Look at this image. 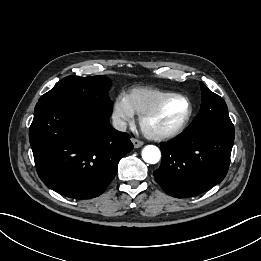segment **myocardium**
Listing matches in <instances>:
<instances>
[{"label": "myocardium", "mask_w": 261, "mask_h": 261, "mask_svg": "<svg viewBox=\"0 0 261 261\" xmlns=\"http://www.w3.org/2000/svg\"><path fill=\"white\" fill-rule=\"evenodd\" d=\"M173 99H181L188 105V111L184 118L174 127L165 130H153L148 127V121L158 115L165 105ZM193 115V104L190 99L182 94L171 93L161 99L153 107L146 110L140 115L139 124L142 132L152 140H166L180 134L188 125Z\"/></svg>", "instance_id": "obj_1"}]
</instances>
